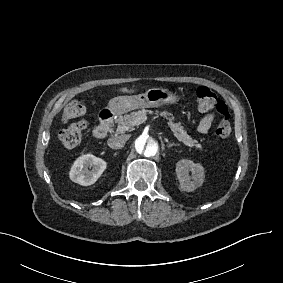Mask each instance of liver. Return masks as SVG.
Returning a JSON list of instances; mask_svg holds the SVG:
<instances>
[{"label":"liver","mask_w":283,"mask_h":283,"mask_svg":"<svg viewBox=\"0 0 283 283\" xmlns=\"http://www.w3.org/2000/svg\"><path fill=\"white\" fill-rule=\"evenodd\" d=\"M120 91H122V92H126V93H131V92H133V90H128L127 88H121L120 89Z\"/></svg>","instance_id":"6515ba94"}]
</instances>
